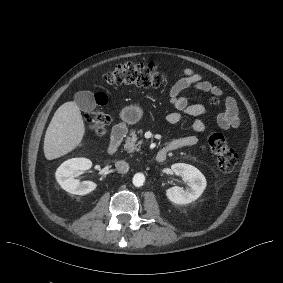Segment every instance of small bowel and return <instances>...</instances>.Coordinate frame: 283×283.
<instances>
[{"mask_svg":"<svg viewBox=\"0 0 283 283\" xmlns=\"http://www.w3.org/2000/svg\"><path fill=\"white\" fill-rule=\"evenodd\" d=\"M186 90L208 92L218 97L223 96V90L206 80L202 74L196 73L190 68L183 69V76L169 90V101L174 110L167 114V122L177 124L183 116L197 117L198 119L191 125V130L195 133H202L206 129V124L201 117L207 115V110L201 104H190L188 96L184 94ZM224 106L225 109L217 117L216 124L222 130L237 128L240 124V118L236 101L228 96L224 99ZM198 143V137L186 135L173 139L167 147L169 150H175L182 147L195 146Z\"/></svg>","mask_w":283,"mask_h":283,"instance_id":"small-bowel-1","label":"small bowel"}]
</instances>
